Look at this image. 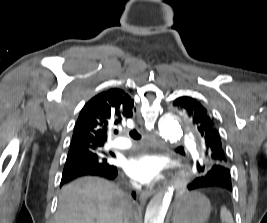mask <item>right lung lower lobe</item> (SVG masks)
Here are the masks:
<instances>
[{
	"label": "right lung lower lobe",
	"mask_w": 267,
	"mask_h": 223,
	"mask_svg": "<svg viewBox=\"0 0 267 223\" xmlns=\"http://www.w3.org/2000/svg\"><path fill=\"white\" fill-rule=\"evenodd\" d=\"M118 171L115 166L106 167L104 169H86L79 172H73V173H63L62 174V180L60 186H62L64 183L71 181L75 178L82 177V176H98L102 178H106L109 180H113L117 177ZM132 196L136 198L135 192H132Z\"/></svg>",
	"instance_id": "1"
}]
</instances>
